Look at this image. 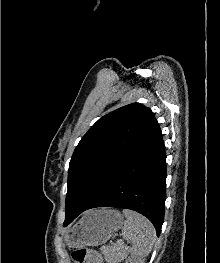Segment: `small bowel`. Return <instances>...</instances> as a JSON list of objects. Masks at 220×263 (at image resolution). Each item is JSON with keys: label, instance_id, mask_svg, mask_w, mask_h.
<instances>
[{"label": "small bowel", "instance_id": "c3829d8e", "mask_svg": "<svg viewBox=\"0 0 220 263\" xmlns=\"http://www.w3.org/2000/svg\"><path fill=\"white\" fill-rule=\"evenodd\" d=\"M88 263H95V261H93V260H90V261H88Z\"/></svg>", "mask_w": 220, "mask_h": 263}]
</instances>
